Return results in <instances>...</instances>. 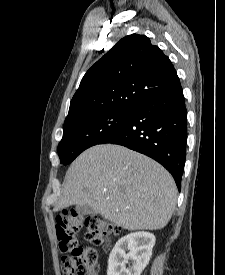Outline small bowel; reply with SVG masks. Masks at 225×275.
Masks as SVG:
<instances>
[{"label": "small bowel", "mask_w": 225, "mask_h": 275, "mask_svg": "<svg viewBox=\"0 0 225 275\" xmlns=\"http://www.w3.org/2000/svg\"><path fill=\"white\" fill-rule=\"evenodd\" d=\"M92 275H97V273L93 272Z\"/></svg>", "instance_id": "c3829d8e"}]
</instances>
